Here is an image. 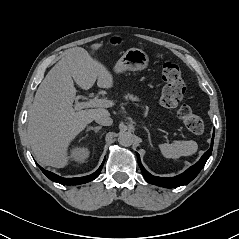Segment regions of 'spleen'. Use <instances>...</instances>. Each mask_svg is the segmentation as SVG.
Returning a JSON list of instances; mask_svg holds the SVG:
<instances>
[{
    "label": "spleen",
    "mask_w": 239,
    "mask_h": 239,
    "mask_svg": "<svg viewBox=\"0 0 239 239\" xmlns=\"http://www.w3.org/2000/svg\"><path fill=\"white\" fill-rule=\"evenodd\" d=\"M160 151L165 158H179L189 156L197 152L198 145L195 141H175L171 144L164 143L159 145Z\"/></svg>",
    "instance_id": "obj_1"
}]
</instances>
